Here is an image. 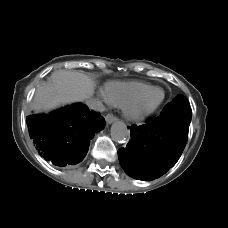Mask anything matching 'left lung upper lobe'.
I'll return each instance as SVG.
<instances>
[{"label":"left lung upper lobe","mask_w":228,"mask_h":228,"mask_svg":"<svg viewBox=\"0 0 228 228\" xmlns=\"http://www.w3.org/2000/svg\"><path fill=\"white\" fill-rule=\"evenodd\" d=\"M164 109L184 110L186 113L192 112L187 98L182 94H179L176 98H174V100L168 103Z\"/></svg>","instance_id":"obj_1"}]
</instances>
